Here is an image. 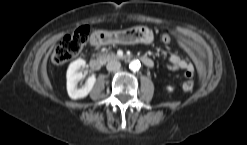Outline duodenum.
Returning <instances> with one entry per match:
<instances>
[{"mask_svg":"<svg viewBox=\"0 0 247 145\" xmlns=\"http://www.w3.org/2000/svg\"><path fill=\"white\" fill-rule=\"evenodd\" d=\"M104 39V36L101 35H97V34H94L92 36V40H91V43L95 46H98L102 43V40ZM139 59L141 60V62L148 68H152L154 63H153V60L147 56H141L139 57ZM89 65L92 69L94 70H99L102 66V62L101 60L97 59V58H92L89 62Z\"/></svg>","mask_w":247,"mask_h":145,"instance_id":"duodenum-1","label":"duodenum"}]
</instances>
